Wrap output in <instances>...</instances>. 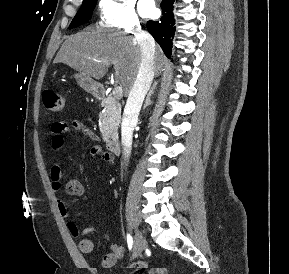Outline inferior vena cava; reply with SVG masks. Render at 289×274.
Wrapping results in <instances>:
<instances>
[{
    "mask_svg": "<svg viewBox=\"0 0 289 274\" xmlns=\"http://www.w3.org/2000/svg\"><path fill=\"white\" fill-rule=\"evenodd\" d=\"M135 39L140 47L141 62L135 82L129 92L124 108L121 124V142L123 148V164L128 165L132 150L133 130L138 122V116L144 98L154 78L155 43L152 37L138 26L134 32Z\"/></svg>",
    "mask_w": 289,
    "mask_h": 274,
    "instance_id": "inferior-vena-cava-1",
    "label": "inferior vena cava"
}]
</instances>
